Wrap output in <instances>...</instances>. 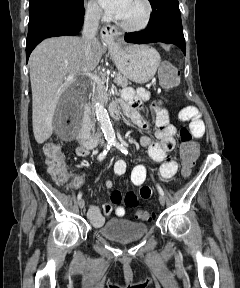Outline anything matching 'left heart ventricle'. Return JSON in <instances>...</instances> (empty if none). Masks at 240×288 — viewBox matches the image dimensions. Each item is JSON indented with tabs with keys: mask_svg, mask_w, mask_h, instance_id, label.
<instances>
[{
	"mask_svg": "<svg viewBox=\"0 0 240 288\" xmlns=\"http://www.w3.org/2000/svg\"><path fill=\"white\" fill-rule=\"evenodd\" d=\"M146 16V6L142 0H130L124 15L120 18L127 24L138 25Z\"/></svg>",
	"mask_w": 240,
	"mask_h": 288,
	"instance_id": "1",
	"label": "left heart ventricle"
}]
</instances>
